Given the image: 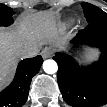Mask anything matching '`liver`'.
<instances>
[{"mask_svg":"<svg viewBox=\"0 0 107 107\" xmlns=\"http://www.w3.org/2000/svg\"><path fill=\"white\" fill-rule=\"evenodd\" d=\"M60 26L56 16L48 11L37 12L23 17L18 25L0 32V78L4 84L12 76L22 56L23 48H40L59 38Z\"/></svg>","mask_w":107,"mask_h":107,"instance_id":"1","label":"liver"}]
</instances>
